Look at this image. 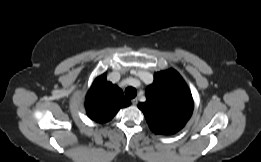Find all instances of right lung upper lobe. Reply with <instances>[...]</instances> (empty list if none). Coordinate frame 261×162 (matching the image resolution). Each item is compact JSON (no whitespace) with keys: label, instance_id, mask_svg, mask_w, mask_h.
I'll return each mask as SVG.
<instances>
[{"label":"right lung upper lobe","instance_id":"1","mask_svg":"<svg viewBox=\"0 0 261 162\" xmlns=\"http://www.w3.org/2000/svg\"><path fill=\"white\" fill-rule=\"evenodd\" d=\"M130 105L123 91L107 81L106 74L97 77L89 89L85 108L87 115L98 123L111 120L122 107Z\"/></svg>","mask_w":261,"mask_h":162}]
</instances>
